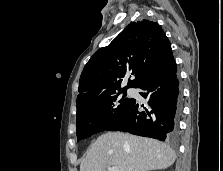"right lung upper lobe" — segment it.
Wrapping results in <instances>:
<instances>
[{
  "label": "right lung upper lobe",
  "instance_id": "right-lung-upper-lobe-1",
  "mask_svg": "<svg viewBox=\"0 0 223 171\" xmlns=\"http://www.w3.org/2000/svg\"><path fill=\"white\" fill-rule=\"evenodd\" d=\"M172 59L170 42L158 23L146 19L131 23L85 65L79 81L77 109L127 88H137ZM130 70L135 78L121 89V82Z\"/></svg>",
  "mask_w": 223,
  "mask_h": 171
}]
</instances>
